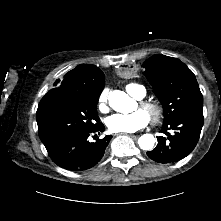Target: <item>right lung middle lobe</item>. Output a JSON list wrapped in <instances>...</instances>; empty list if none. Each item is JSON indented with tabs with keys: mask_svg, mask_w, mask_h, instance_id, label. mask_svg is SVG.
Segmentation results:
<instances>
[{
	"mask_svg": "<svg viewBox=\"0 0 221 221\" xmlns=\"http://www.w3.org/2000/svg\"><path fill=\"white\" fill-rule=\"evenodd\" d=\"M100 93L86 97H43L36 113L38 133L48 152L93 130L98 124Z\"/></svg>",
	"mask_w": 221,
	"mask_h": 221,
	"instance_id": "1",
	"label": "right lung middle lobe"
}]
</instances>
